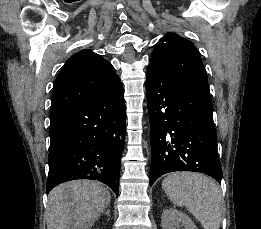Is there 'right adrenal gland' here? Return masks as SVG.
I'll list each match as a JSON object with an SVG mask.
<instances>
[{
    "mask_svg": "<svg viewBox=\"0 0 261 229\" xmlns=\"http://www.w3.org/2000/svg\"><path fill=\"white\" fill-rule=\"evenodd\" d=\"M104 215H108V217H110V209H107L106 213H104Z\"/></svg>",
    "mask_w": 261,
    "mask_h": 229,
    "instance_id": "right-adrenal-gland-1",
    "label": "right adrenal gland"
}]
</instances>
